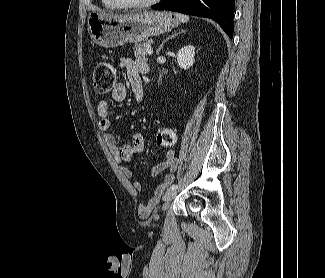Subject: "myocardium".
Instances as JSON below:
<instances>
[{"label":"myocardium","mask_w":325,"mask_h":278,"mask_svg":"<svg viewBox=\"0 0 325 278\" xmlns=\"http://www.w3.org/2000/svg\"><path fill=\"white\" fill-rule=\"evenodd\" d=\"M113 1L121 8L141 9V8L151 7L156 3H158L160 0H146L143 2H132L128 0H113Z\"/></svg>","instance_id":"f54148a6"}]
</instances>
